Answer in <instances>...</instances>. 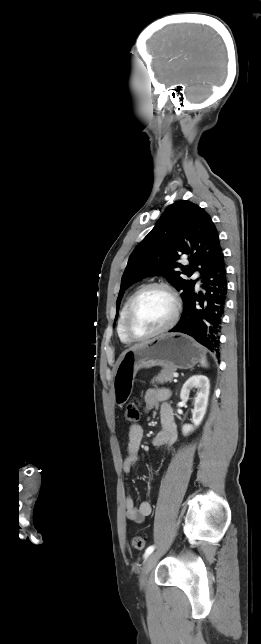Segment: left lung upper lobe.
<instances>
[{
	"label": "left lung upper lobe",
	"instance_id": "left-lung-upper-lobe-1",
	"mask_svg": "<svg viewBox=\"0 0 261 644\" xmlns=\"http://www.w3.org/2000/svg\"><path fill=\"white\" fill-rule=\"evenodd\" d=\"M221 252L219 234L209 214L192 202H175L131 253L121 279L117 309L125 290L149 275L165 276L182 292L185 307L194 294L196 281L182 279L181 272L175 269L181 268L188 276L197 269L203 275ZM183 255L190 261L187 268L177 262Z\"/></svg>",
	"mask_w": 261,
	"mask_h": 644
}]
</instances>
